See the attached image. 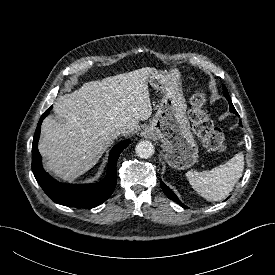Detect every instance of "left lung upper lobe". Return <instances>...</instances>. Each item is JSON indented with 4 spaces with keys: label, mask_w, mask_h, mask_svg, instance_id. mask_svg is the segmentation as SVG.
I'll return each instance as SVG.
<instances>
[{
    "label": "left lung upper lobe",
    "mask_w": 275,
    "mask_h": 275,
    "mask_svg": "<svg viewBox=\"0 0 275 275\" xmlns=\"http://www.w3.org/2000/svg\"><path fill=\"white\" fill-rule=\"evenodd\" d=\"M223 93H224V96L229 95L228 91H227V89H226V87L224 85H223Z\"/></svg>",
    "instance_id": "obj_1"
}]
</instances>
